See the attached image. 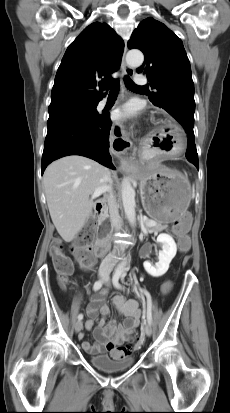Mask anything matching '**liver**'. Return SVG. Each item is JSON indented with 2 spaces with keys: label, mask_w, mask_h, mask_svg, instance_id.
<instances>
[{
  "label": "liver",
  "mask_w": 230,
  "mask_h": 413,
  "mask_svg": "<svg viewBox=\"0 0 230 413\" xmlns=\"http://www.w3.org/2000/svg\"><path fill=\"white\" fill-rule=\"evenodd\" d=\"M109 170L84 156L71 155L52 162L43 176L50 216L58 233L70 242L90 217L96 188L109 186L105 175Z\"/></svg>",
  "instance_id": "1"
}]
</instances>
